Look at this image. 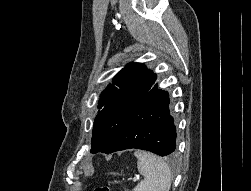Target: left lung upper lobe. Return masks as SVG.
Listing matches in <instances>:
<instances>
[{"mask_svg": "<svg viewBox=\"0 0 251 191\" xmlns=\"http://www.w3.org/2000/svg\"><path fill=\"white\" fill-rule=\"evenodd\" d=\"M156 74L141 63H130L100 97L92 132V153L109 151L140 99L152 88Z\"/></svg>", "mask_w": 251, "mask_h": 191, "instance_id": "1", "label": "left lung upper lobe"}]
</instances>
